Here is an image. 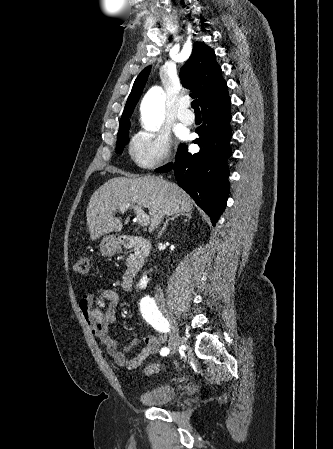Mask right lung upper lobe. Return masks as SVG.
Returning <instances> with one entry per match:
<instances>
[{"label":"right lung upper lobe","mask_w":333,"mask_h":449,"mask_svg":"<svg viewBox=\"0 0 333 449\" xmlns=\"http://www.w3.org/2000/svg\"><path fill=\"white\" fill-rule=\"evenodd\" d=\"M151 66L144 68L136 78L125 105L122 119H128L138 102ZM181 80L185 88L193 91L194 98H199L200 105L222 88L227 87L217 64L214 51L203 42H195L189 60L181 69Z\"/></svg>","instance_id":"right-lung-upper-lobe-1"}]
</instances>
